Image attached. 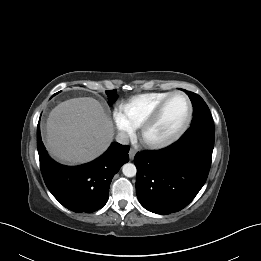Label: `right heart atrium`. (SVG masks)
<instances>
[{
  "instance_id": "obj_1",
  "label": "right heart atrium",
  "mask_w": 261,
  "mask_h": 261,
  "mask_svg": "<svg viewBox=\"0 0 261 261\" xmlns=\"http://www.w3.org/2000/svg\"><path fill=\"white\" fill-rule=\"evenodd\" d=\"M115 127L120 138H127L133 134V128L128 123L121 111L115 110L112 114Z\"/></svg>"
}]
</instances>
